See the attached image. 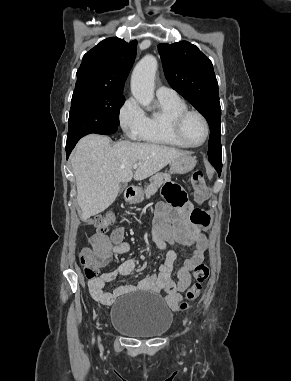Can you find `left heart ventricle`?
Segmentation results:
<instances>
[{
    "mask_svg": "<svg viewBox=\"0 0 291 381\" xmlns=\"http://www.w3.org/2000/svg\"><path fill=\"white\" fill-rule=\"evenodd\" d=\"M183 133L192 144H199L205 136V127L197 115H189L183 123Z\"/></svg>",
    "mask_w": 291,
    "mask_h": 381,
    "instance_id": "obj_1",
    "label": "left heart ventricle"
}]
</instances>
